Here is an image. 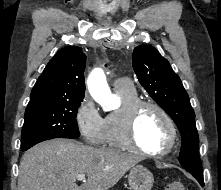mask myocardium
Segmentation results:
<instances>
[{
    "instance_id": "myocardium-1",
    "label": "myocardium",
    "mask_w": 221,
    "mask_h": 190,
    "mask_svg": "<svg viewBox=\"0 0 221 190\" xmlns=\"http://www.w3.org/2000/svg\"><path fill=\"white\" fill-rule=\"evenodd\" d=\"M144 107H151L158 111L163 117L169 128V142L163 149L160 150H146L140 147L135 139L134 128L136 117L140 110ZM121 117V137L125 147L128 150L138 154L150 157H160L170 153L177 143V128L169 113L158 103L150 100H136L132 103L124 105L120 112Z\"/></svg>"
}]
</instances>
